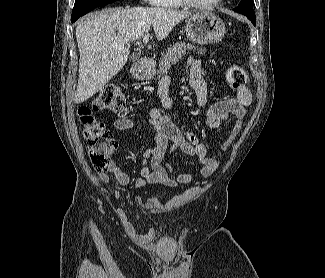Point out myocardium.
<instances>
[{"label": "myocardium", "mask_w": 325, "mask_h": 278, "mask_svg": "<svg viewBox=\"0 0 325 278\" xmlns=\"http://www.w3.org/2000/svg\"><path fill=\"white\" fill-rule=\"evenodd\" d=\"M180 1L183 5L198 10H210L217 7L222 2V0H214L213 2L208 4H200L193 0H180Z\"/></svg>", "instance_id": "1"}]
</instances>
